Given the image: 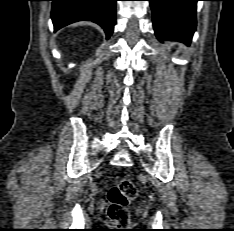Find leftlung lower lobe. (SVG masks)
Listing matches in <instances>:
<instances>
[{
	"instance_id": "0a47b994",
	"label": "left lung lower lobe",
	"mask_w": 234,
	"mask_h": 231,
	"mask_svg": "<svg viewBox=\"0 0 234 231\" xmlns=\"http://www.w3.org/2000/svg\"><path fill=\"white\" fill-rule=\"evenodd\" d=\"M148 1L158 40H177L189 44L196 29V3L199 0Z\"/></svg>"
}]
</instances>
